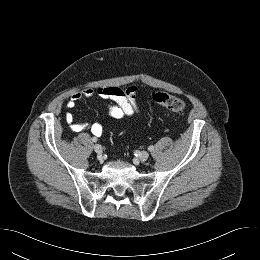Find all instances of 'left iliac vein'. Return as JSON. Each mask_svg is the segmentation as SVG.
<instances>
[{
    "mask_svg": "<svg viewBox=\"0 0 260 260\" xmlns=\"http://www.w3.org/2000/svg\"><path fill=\"white\" fill-rule=\"evenodd\" d=\"M149 158V153L147 151H142L139 155H138V160H140L141 162L146 161Z\"/></svg>",
    "mask_w": 260,
    "mask_h": 260,
    "instance_id": "left-iliac-vein-1",
    "label": "left iliac vein"
}]
</instances>
